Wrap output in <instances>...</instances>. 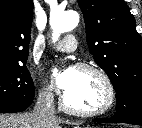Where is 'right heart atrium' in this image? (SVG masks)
Listing matches in <instances>:
<instances>
[{"label": "right heart atrium", "mask_w": 142, "mask_h": 128, "mask_svg": "<svg viewBox=\"0 0 142 128\" xmlns=\"http://www.w3.org/2000/svg\"><path fill=\"white\" fill-rule=\"evenodd\" d=\"M40 97L44 100H51L54 95V88L50 83H44L39 91Z\"/></svg>", "instance_id": "obj_1"}]
</instances>
